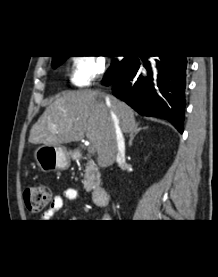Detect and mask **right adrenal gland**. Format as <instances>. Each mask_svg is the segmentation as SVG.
<instances>
[{
    "instance_id": "1",
    "label": "right adrenal gland",
    "mask_w": 218,
    "mask_h": 277,
    "mask_svg": "<svg viewBox=\"0 0 218 277\" xmlns=\"http://www.w3.org/2000/svg\"><path fill=\"white\" fill-rule=\"evenodd\" d=\"M138 125L139 124H137V126L135 127V129H134V131L133 132H131V134H130V140H129V147H131L132 146V141H133V139L135 138V136L141 131V130H145V129H147L148 127H138Z\"/></svg>"
}]
</instances>
